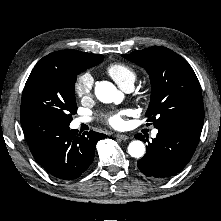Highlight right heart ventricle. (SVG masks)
<instances>
[{
	"instance_id": "e07e8e85",
	"label": "right heart ventricle",
	"mask_w": 221,
	"mask_h": 221,
	"mask_svg": "<svg viewBox=\"0 0 221 221\" xmlns=\"http://www.w3.org/2000/svg\"><path fill=\"white\" fill-rule=\"evenodd\" d=\"M106 72L121 88L133 86L136 80L135 71L124 63H112Z\"/></svg>"
}]
</instances>
